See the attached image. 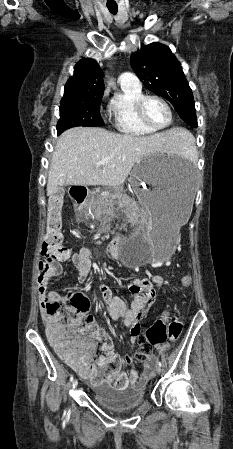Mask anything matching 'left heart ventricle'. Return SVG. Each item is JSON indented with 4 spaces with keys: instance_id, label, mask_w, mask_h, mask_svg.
<instances>
[{
    "instance_id": "left-heart-ventricle-1",
    "label": "left heart ventricle",
    "mask_w": 233,
    "mask_h": 449,
    "mask_svg": "<svg viewBox=\"0 0 233 449\" xmlns=\"http://www.w3.org/2000/svg\"><path fill=\"white\" fill-rule=\"evenodd\" d=\"M147 120L156 127L164 126L169 120L166 107L158 100H148L144 107Z\"/></svg>"
}]
</instances>
